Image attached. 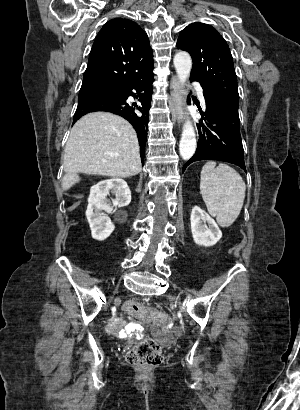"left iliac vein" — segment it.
<instances>
[{"mask_svg": "<svg viewBox=\"0 0 300 410\" xmlns=\"http://www.w3.org/2000/svg\"><path fill=\"white\" fill-rule=\"evenodd\" d=\"M169 299L175 300V297L174 296H169Z\"/></svg>", "mask_w": 300, "mask_h": 410, "instance_id": "4c4485c4", "label": "left iliac vein"}]
</instances>
